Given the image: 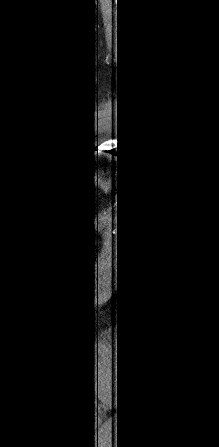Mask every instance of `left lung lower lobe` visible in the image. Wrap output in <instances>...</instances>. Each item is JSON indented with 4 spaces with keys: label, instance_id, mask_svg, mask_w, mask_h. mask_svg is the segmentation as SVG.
<instances>
[{
    "label": "left lung lower lobe",
    "instance_id": "obj_1",
    "mask_svg": "<svg viewBox=\"0 0 219 447\" xmlns=\"http://www.w3.org/2000/svg\"><path fill=\"white\" fill-rule=\"evenodd\" d=\"M98 146V145H97ZM89 152H93V147H92V145L89 147ZM110 153H112L113 155L115 154L114 153V151H109ZM117 156L120 158V160L121 159H124V157L125 156H127V150H126V148L124 147V144L122 145L121 143H120V145H118V147H117Z\"/></svg>",
    "mask_w": 219,
    "mask_h": 447
}]
</instances>
